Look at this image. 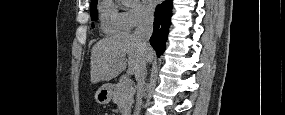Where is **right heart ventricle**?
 Listing matches in <instances>:
<instances>
[{
  "label": "right heart ventricle",
  "mask_w": 285,
  "mask_h": 115,
  "mask_svg": "<svg viewBox=\"0 0 285 115\" xmlns=\"http://www.w3.org/2000/svg\"><path fill=\"white\" fill-rule=\"evenodd\" d=\"M100 28L107 35H113L124 29L122 12L111 1H106L100 9Z\"/></svg>",
  "instance_id": "1"
}]
</instances>
